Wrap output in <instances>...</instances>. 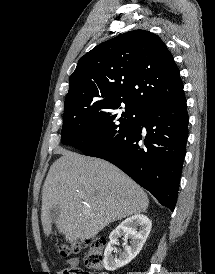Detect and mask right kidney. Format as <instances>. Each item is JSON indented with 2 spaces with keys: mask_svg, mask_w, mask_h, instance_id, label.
<instances>
[{
  "mask_svg": "<svg viewBox=\"0 0 215 274\" xmlns=\"http://www.w3.org/2000/svg\"><path fill=\"white\" fill-rule=\"evenodd\" d=\"M137 227H139L137 231ZM151 220L143 215L136 214L125 219L118 225L109 236V243L104 252L103 264L106 270L114 271L131 262L142 249L150 231ZM123 236L125 240L130 239V245L124 243V250L119 255H113L115 245L118 244V238Z\"/></svg>",
  "mask_w": 215,
  "mask_h": 274,
  "instance_id": "1",
  "label": "right kidney"
}]
</instances>
